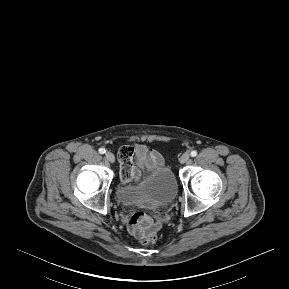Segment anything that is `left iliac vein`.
<instances>
[{
    "instance_id": "left-iliac-vein-1",
    "label": "left iliac vein",
    "mask_w": 289,
    "mask_h": 289,
    "mask_svg": "<svg viewBox=\"0 0 289 289\" xmlns=\"http://www.w3.org/2000/svg\"><path fill=\"white\" fill-rule=\"evenodd\" d=\"M190 158L189 153H184L181 157H180V163L184 164L186 163Z\"/></svg>"
}]
</instances>
